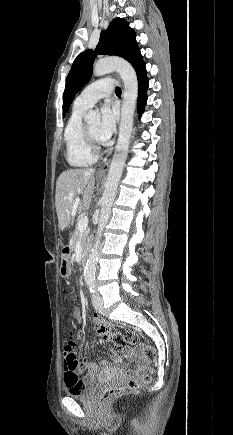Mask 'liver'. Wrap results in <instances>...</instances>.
<instances>
[{
	"mask_svg": "<svg viewBox=\"0 0 233 435\" xmlns=\"http://www.w3.org/2000/svg\"><path fill=\"white\" fill-rule=\"evenodd\" d=\"M95 170L70 169L60 174L56 184L55 205L61 230L69 228L76 212L89 207L95 185ZM81 197L75 207V199Z\"/></svg>",
	"mask_w": 233,
	"mask_h": 435,
	"instance_id": "liver-1",
	"label": "liver"
}]
</instances>
